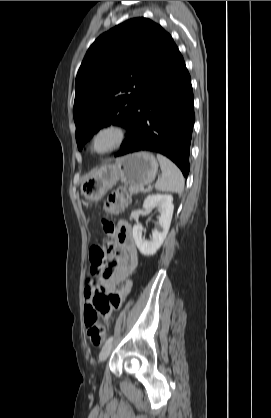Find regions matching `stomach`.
Here are the masks:
<instances>
[{
	"label": "stomach",
	"instance_id": "0dacf381",
	"mask_svg": "<svg viewBox=\"0 0 271 418\" xmlns=\"http://www.w3.org/2000/svg\"><path fill=\"white\" fill-rule=\"evenodd\" d=\"M157 170L158 163L153 154L133 153L95 170L84 179L81 191L87 200L97 202L119 180L139 186L147 185L155 179Z\"/></svg>",
	"mask_w": 271,
	"mask_h": 418
}]
</instances>
